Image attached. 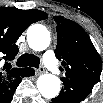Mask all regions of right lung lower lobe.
<instances>
[{
  "label": "right lung lower lobe",
  "mask_w": 103,
  "mask_h": 103,
  "mask_svg": "<svg viewBox=\"0 0 103 103\" xmlns=\"http://www.w3.org/2000/svg\"><path fill=\"white\" fill-rule=\"evenodd\" d=\"M26 75L25 70L22 72L21 76L15 79L10 84H1L0 86V103H9L11 102L13 98V94L21 82V77H24Z\"/></svg>",
  "instance_id": "1"
}]
</instances>
